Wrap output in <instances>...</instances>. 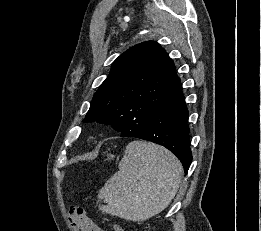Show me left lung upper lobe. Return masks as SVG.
I'll use <instances>...</instances> for the list:
<instances>
[{
  "instance_id": "1",
  "label": "left lung upper lobe",
  "mask_w": 261,
  "mask_h": 231,
  "mask_svg": "<svg viewBox=\"0 0 261 231\" xmlns=\"http://www.w3.org/2000/svg\"><path fill=\"white\" fill-rule=\"evenodd\" d=\"M181 93L180 79L168 54L157 42H143L113 62L84 122L110 124L121 134L141 133Z\"/></svg>"
}]
</instances>
